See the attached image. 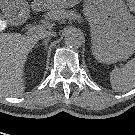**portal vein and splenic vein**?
Segmentation results:
<instances>
[{
  "label": "portal vein and splenic vein",
  "mask_w": 135,
  "mask_h": 135,
  "mask_svg": "<svg viewBox=\"0 0 135 135\" xmlns=\"http://www.w3.org/2000/svg\"><path fill=\"white\" fill-rule=\"evenodd\" d=\"M43 30V26L42 25H36V26H32L28 29V33L29 34H33V33H38L41 32Z\"/></svg>",
  "instance_id": "obj_1"
}]
</instances>
